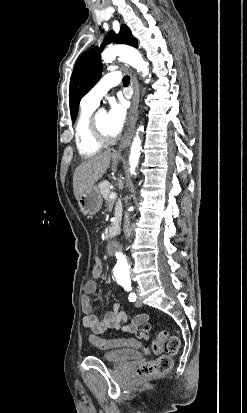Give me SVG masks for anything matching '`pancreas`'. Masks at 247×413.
<instances>
[{"instance_id": "cf45deb5", "label": "pancreas", "mask_w": 247, "mask_h": 413, "mask_svg": "<svg viewBox=\"0 0 247 413\" xmlns=\"http://www.w3.org/2000/svg\"><path fill=\"white\" fill-rule=\"evenodd\" d=\"M110 182L109 180H102V182H99L98 184V188H100V192L103 196V198H105L106 202H109V200H111L109 194L111 192L110 188ZM120 207V202H116V213H117V209H119ZM114 227H116V225H118V219L117 221H114L113 223Z\"/></svg>"}]
</instances>
